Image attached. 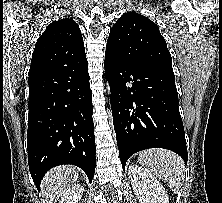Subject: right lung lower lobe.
Returning a JSON list of instances; mask_svg holds the SVG:
<instances>
[{
	"label": "right lung lower lobe",
	"instance_id": "1",
	"mask_svg": "<svg viewBox=\"0 0 222 203\" xmlns=\"http://www.w3.org/2000/svg\"><path fill=\"white\" fill-rule=\"evenodd\" d=\"M87 64L29 77L27 150L38 190L52 167H80L91 182L95 172L92 91Z\"/></svg>",
	"mask_w": 222,
	"mask_h": 203
}]
</instances>
